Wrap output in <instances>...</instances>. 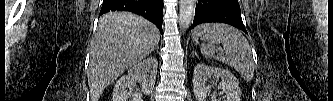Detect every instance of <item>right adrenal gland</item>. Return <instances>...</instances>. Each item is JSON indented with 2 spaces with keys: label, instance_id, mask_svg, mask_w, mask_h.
<instances>
[{
  "label": "right adrenal gland",
  "instance_id": "right-adrenal-gland-1",
  "mask_svg": "<svg viewBox=\"0 0 333 101\" xmlns=\"http://www.w3.org/2000/svg\"><path fill=\"white\" fill-rule=\"evenodd\" d=\"M156 50L158 51V46L156 47Z\"/></svg>",
  "mask_w": 333,
  "mask_h": 101
}]
</instances>
